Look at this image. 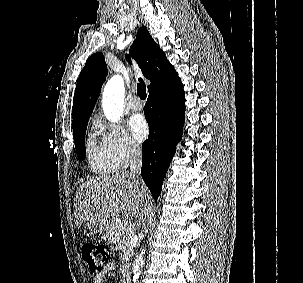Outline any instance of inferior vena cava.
Instances as JSON below:
<instances>
[{
    "mask_svg": "<svg viewBox=\"0 0 303 283\" xmlns=\"http://www.w3.org/2000/svg\"><path fill=\"white\" fill-rule=\"evenodd\" d=\"M142 167V151L139 146L132 144L130 147V175L139 177Z\"/></svg>",
    "mask_w": 303,
    "mask_h": 283,
    "instance_id": "obj_1",
    "label": "inferior vena cava"
}]
</instances>
